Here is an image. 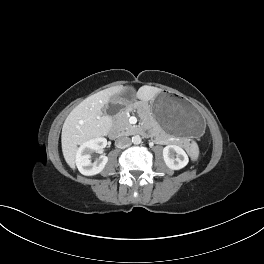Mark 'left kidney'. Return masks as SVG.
Instances as JSON below:
<instances>
[{
	"instance_id": "left-kidney-1",
	"label": "left kidney",
	"mask_w": 264,
	"mask_h": 264,
	"mask_svg": "<svg viewBox=\"0 0 264 264\" xmlns=\"http://www.w3.org/2000/svg\"><path fill=\"white\" fill-rule=\"evenodd\" d=\"M163 159L167 167L172 170L182 169L189 162L186 152L177 145H168L164 147Z\"/></svg>"
}]
</instances>
